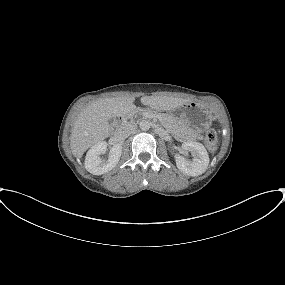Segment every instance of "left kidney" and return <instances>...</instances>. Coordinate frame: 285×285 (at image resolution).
<instances>
[{
	"instance_id": "1",
	"label": "left kidney",
	"mask_w": 285,
	"mask_h": 285,
	"mask_svg": "<svg viewBox=\"0 0 285 285\" xmlns=\"http://www.w3.org/2000/svg\"><path fill=\"white\" fill-rule=\"evenodd\" d=\"M182 149L190 151L193 159L188 161L183 156L175 155L177 168L189 176L203 174L209 165V156L205 147L201 143L188 141L182 144Z\"/></svg>"
}]
</instances>
